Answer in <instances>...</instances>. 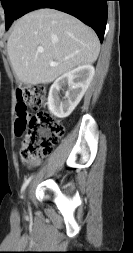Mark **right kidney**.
<instances>
[{"label":"right kidney","mask_w":133,"mask_h":253,"mask_svg":"<svg viewBox=\"0 0 133 253\" xmlns=\"http://www.w3.org/2000/svg\"><path fill=\"white\" fill-rule=\"evenodd\" d=\"M94 73V67L85 64L59 77L49 90V111L58 118L68 117L81 101L93 79ZM66 85H68L69 90L61 98L59 95L60 89Z\"/></svg>","instance_id":"1"}]
</instances>
